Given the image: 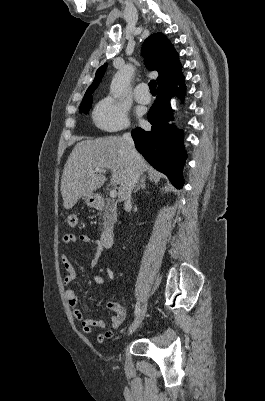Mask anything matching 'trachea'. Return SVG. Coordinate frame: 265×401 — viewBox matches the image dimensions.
<instances>
[{"label":"trachea","mask_w":265,"mask_h":401,"mask_svg":"<svg viewBox=\"0 0 265 401\" xmlns=\"http://www.w3.org/2000/svg\"><path fill=\"white\" fill-rule=\"evenodd\" d=\"M149 88L151 92H157L156 90V81L155 80H151L149 82Z\"/></svg>","instance_id":"1"}]
</instances>
